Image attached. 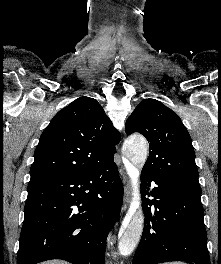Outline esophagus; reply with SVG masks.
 Instances as JSON below:
<instances>
[{"label": "esophagus", "mask_w": 221, "mask_h": 264, "mask_svg": "<svg viewBox=\"0 0 221 264\" xmlns=\"http://www.w3.org/2000/svg\"><path fill=\"white\" fill-rule=\"evenodd\" d=\"M129 204H130V188H129V184L127 183L124 189L122 211H126L127 208L129 207Z\"/></svg>", "instance_id": "esophagus-1"}]
</instances>
